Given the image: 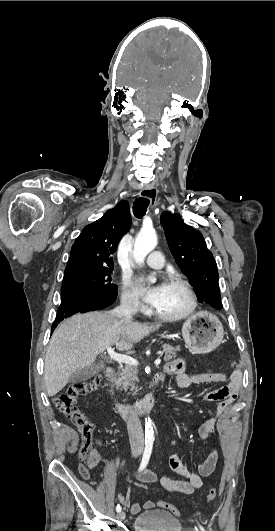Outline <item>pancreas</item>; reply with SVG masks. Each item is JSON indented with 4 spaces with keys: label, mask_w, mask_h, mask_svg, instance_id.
Listing matches in <instances>:
<instances>
[{
    "label": "pancreas",
    "mask_w": 275,
    "mask_h": 531,
    "mask_svg": "<svg viewBox=\"0 0 275 531\" xmlns=\"http://www.w3.org/2000/svg\"><path fill=\"white\" fill-rule=\"evenodd\" d=\"M162 349L163 353H165L164 361H172V359L177 357L176 351H181L180 347H171V345H162ZM111 383H114L116 387H122V389L131 387L133 391L136 383H139L138 371L130 367V365H125L124 369L119 371L118 377L112 379Z\"/></svg>",
    "instance_id": "obj_1"
}]
</instances>
